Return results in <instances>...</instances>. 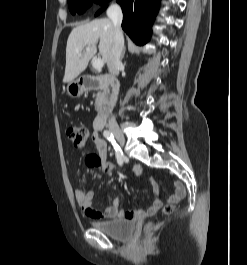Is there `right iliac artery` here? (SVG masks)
<instances>
[{"label":"right iliac artery","mask_w":247,"mask_h":265,"mask_svg":"<svg viewBox=\"0 0 247 265\" xmlns=\"http://www.w3.org/2000/svg\"><path fill=\"white\" fill-rule=\"evenodd\" d=\"M104 137L111 141L112 145L114 146L115 149V153H116V158H117V162L119 165H122L123 163V153L121 151V148L119 147L118 144H116V141L114 140V136L112 134V132H110L109 130H104L103 132Z\"/></svg>","instance_id":"right-iliac-artery-1"}]
</instances>
